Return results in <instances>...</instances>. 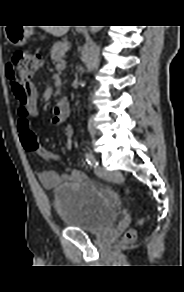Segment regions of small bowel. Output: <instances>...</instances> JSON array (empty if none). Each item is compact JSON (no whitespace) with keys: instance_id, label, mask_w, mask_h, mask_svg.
I'll return each mask as SVG.
<instances>
[{"instance_id":"obj_1","label":"small bowel","mask_w":184,"mask_h":292,"mask_svg":"<svg viewBox=\"0 0 184 292\" xmlns=\"http://www.w3.org/2000/svg\"><path fill=\"white\" fill-rule=\"evenodd\" d=\"M15 94V93H14ZM54 124L59 125L63 122L58 118L53 119ZM20 131V125L18 127V132ZM64 145L67 149H71L73 145V128L71 126H66L63 129ZM40 183L47 189L55 188L56 186L64 182L79 183L86 179L85 174L77 169H72L64 174H58L54 171L45 170L37 175Z\"/></svg>"}]
</instances>
